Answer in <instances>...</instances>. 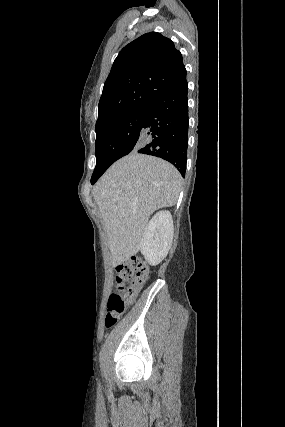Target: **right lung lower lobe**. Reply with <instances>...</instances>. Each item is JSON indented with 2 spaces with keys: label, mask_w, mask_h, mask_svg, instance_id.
I'll return each instance as SVG.
<instances>
[{
  "label": "right lung lower lobe",
  "mask_w": 285,
  "mask_h": 427,
  "mask_svg": "<svg viewBox=\"0 0 285 427\" xmlns=\"http://www.w3.org/2000/svg\"><path fill=\"white\" fill-rule=\"evenodd\" d=\"M188 83L165 93L146 107L138 153L173 164L184 177L188 147ZM104 172L91 178L94 184Z\"/></svg>",
  "instance_id": "obj_1"
}]
</instances>
